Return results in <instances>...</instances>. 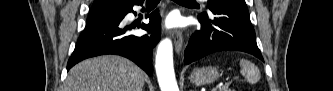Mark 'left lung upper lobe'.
Listing matches in <instances>:
<instances>
[{"mask_svg":"<svg viewBox=\"0 0 333 91\" xmlns=\"http://www.w3.org/2000/svg\"><path fill=\"white\" fill-rule=\"evenodd\" d=\"M218 1H222V0H208V6H210L211 4L218 2Z\"/></svg>","mask_w":333,"mask_h":91,"instance_id":"obj_1","label":"left lung upper lobe"}]
</instances>
